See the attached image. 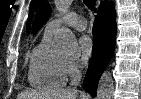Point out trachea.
Returning a JSON list of instances; mask_svg holds the SVG:
<instances>
[{
    "instance_id": "trachea-1",
    "label": "trachea",
    "mask_w": 141,
    "mask_h": 99,
    "mask_svg": "<svg viewBox=\"0 0 141 99\" xmlns=\"http://www.w3.org/2000/svg\"><path fill=\"white\" fill-rule=\"evenodd\" d=\"M85 5L92 11H96V0H84Z\"/></svg>"
}]
</instances>
